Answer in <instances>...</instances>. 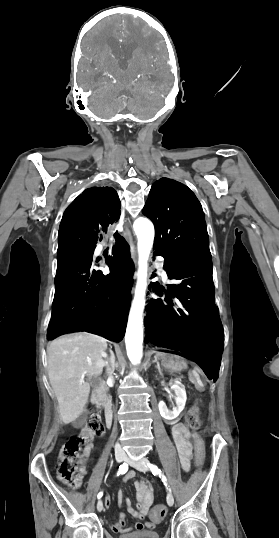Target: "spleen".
<instances>
[{
    "mask_svg": "<svg viewBox=\"0 0 279 538\" xmlns=\"http://www.w3.org/2000/svg\"><path fill=\"white\" fill-rule=\"evenodd\" d=\"M193 375H196V372H193ZM195 379H198V376H195ZM198 383H201V380H198Z\"/></svg>",
    "mask_w": 279,
    "mask_h": 538,
    "instance_id": "spleen-1",
    "label": "spleen"
}]
</instances>
